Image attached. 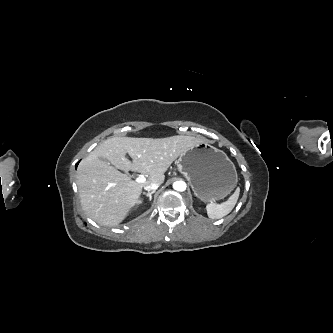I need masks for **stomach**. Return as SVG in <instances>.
<instances>
[{
    "instance_id": "1",
    "label": "stomach",
    "mask_w": 333,
    "mask_h": 333,
    "mask_svg": "<svg viewBox=\"0 0 333 333\" xmlns=\"http://www.w3.org/2000/svg\"><path fill=\"white\" fill-rule=\"evenodd\" d=\"M178 170L203 202L224 199L235 188L237 172L233 162L221 150L206 142L189 148L176 161Z\"/></svg>"
}]
</instances>
